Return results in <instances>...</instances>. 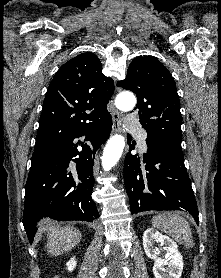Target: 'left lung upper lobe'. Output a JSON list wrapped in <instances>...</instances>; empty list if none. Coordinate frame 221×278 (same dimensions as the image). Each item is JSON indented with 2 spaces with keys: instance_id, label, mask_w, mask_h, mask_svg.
Segmentation results:
<instances>
[{
  "instance_id": "obj_1",
  "label": "left lung upper lobe",
  "mask_w": 221,
  "mask_h": 278,
  "mask_svg": "<svg viewBox=\"0 0 221 278\" xmlns=\"http://www.w3.org/2000/svg\"><path fill=\"white\" fill-rule=\"evenodd\" d=\"M117 86L136 94V108L140 123L147 131V139H182V117L176 85L160 61L150 56L135 58L129 65L126 78L117 82Z\"/></svg>"
}]
</instances>
